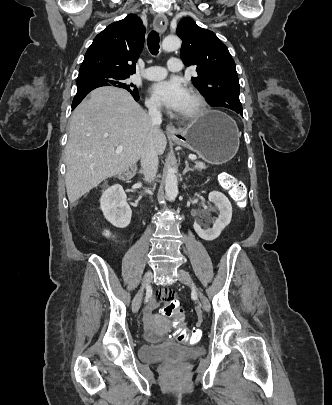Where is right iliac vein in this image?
Masks as SVG:
<instances>
[{
    "label": "right iliac vein",
    "mask_w": 332,
    "mask_h": 405,
    "mask_svg": "<svg viewBox=\"0 0 332 405\" xmlns=\"http://www.w3.org/2000/svg\"><path fill=\"white\" fill-rule=\"evenodd\" d=\"M152 277H153L152 271H148L145 274V276H144V278L142 280L141 287H140L138 293L136 294V296L134 297L133 302H132V311L134 313H136L139 310V308L141 306V301H142V298H143L144 291L148 287Z\"/></svg>",
    "instance_id": "63e3f726"
}]
</instances>
